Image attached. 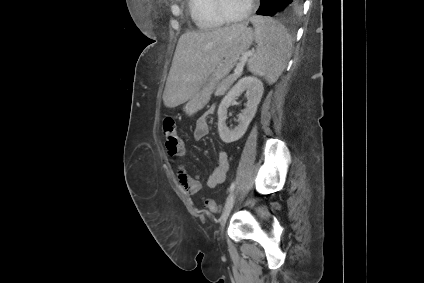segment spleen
Listing matches in <instances>:
<instances>
[{
    "instance_id": "3e777b00",
    "label": "spleen",
    "mask_w": 424,
    "mask_h": 283,
    "mask_svg": "<svg viewBox=\"0 0 424 283\" xmlns=\"http://www.w3.org/2000/svg\"><path fill=\"white\" fill-rule=\"evenodd\" d=\"M256 51L247 61L248 70L275 83L291 57L292 38L286 28L271 18L254 16Z\"/></svg>"
}]
</instances>
